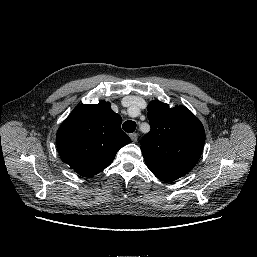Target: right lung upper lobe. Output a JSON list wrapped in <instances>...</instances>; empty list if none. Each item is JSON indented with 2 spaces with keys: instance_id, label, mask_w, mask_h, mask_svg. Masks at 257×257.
Segmentation results:
<instances>
[{
  "instance_id": "1",
  "label": "right lung upper lobe",
  "mask_w": 257,
  "mask_h": 257,
  "mask_svg": "<svg viewBox=\"0 0 257 257\" xmlns=\"http://www.w3.org/2000/svg\"><path fill=\"white\" fill-rule=\"evenodd\" d=\"M121 123L122 118L109 102L76 107L56 135L62 161L83 177L98 174L112 163L120 148L131 142Z\"/></svg>"
}]
</instances>
